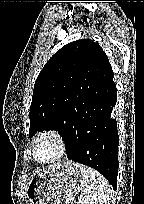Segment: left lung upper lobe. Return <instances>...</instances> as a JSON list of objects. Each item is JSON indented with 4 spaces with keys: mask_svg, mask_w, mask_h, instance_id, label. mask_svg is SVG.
Masks as SVG:
<instances>
[{
    "mask_svg": "<svg viewBox=\"0 0 144 204\" xmlns=\"http://www.w3.org/2000/svg\"><path fill=\"white\" fill-rule=\"evenodd\" d=\"M108 63L99 43L90 39L71 42L58 50L36 79L29 136L57 130L66 140L76 129L94 73Z\"/></svg>",
    "mask_w": 144,
    "mask_h": 204,
    "instance_id": "left-lung-upper-lobe-1",
    "label": "left lung upper lobe"
}]
</instances>
